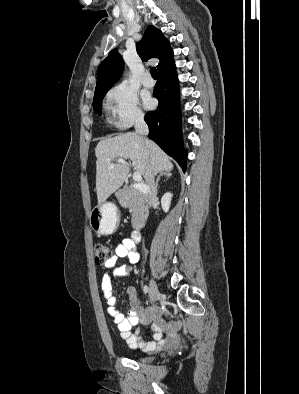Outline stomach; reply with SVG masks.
I'll return each instance as SVG.
<instances>
[{
	"instance_id": "obj_1",
	"label": "stomach",
	"mask_w": 299,
	"mask_h": 394,
	"mask_svg": "<svg viewBox=\"0 0 299 394\" xmlns=\"http://www.w3.org/2000/svg\"><path fill=\"white\" fill-rule=\"evenodd\" d=\"M118 222V209L110 202L99 204L90 213V225L96 233L101 235L114 233L118 227Z\"/></svg>"
}]
</instances>
